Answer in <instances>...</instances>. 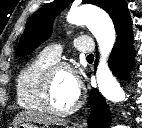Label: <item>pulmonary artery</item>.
I'll return each mask as SVG.
<instances>
[{"label": "pulmonary artery", "instance_id": "obj_1", "mask_svg": "<svg viewBox=\"0 0 142 128\" xmlns=\"http://www.w3.org/2000/svg\"><path fill=\"white\" fill-rule=\"evenodd\" d=\"M74 47L85 54H92L94 51V45L92 40L87 36H78L74 39ZM62 53V46L59 44H51L46 46L42 51L41 54L56 62L59 60L60 55Z\"/></svg>", "mask_w": 142, "mask_h": 128}]
</instances>
